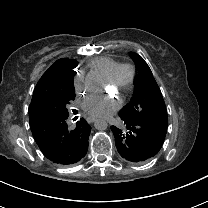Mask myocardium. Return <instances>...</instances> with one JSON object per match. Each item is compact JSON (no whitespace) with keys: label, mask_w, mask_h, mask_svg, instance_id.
<instances>
[{"label":"myocardium","mask_w":208,"mask_h":208,"mask_svg":"<svg viewBox=\"0 0 208 208\" xmlns=\"http://www.w3.org/2000/svg\"><path fill=\"white\" fill-rule=\"evenodd\" d=\"M122 72H127L128 77L127 79L120 83L119 78ZM136 79V68L131 63H121L119 64L116 69L107 77L104 78L105 84H114L119 85L128 95L135 83ZM123 102V99L121 100Z\"/></svg>","instance_id":"obj_1"}]
</instances>
